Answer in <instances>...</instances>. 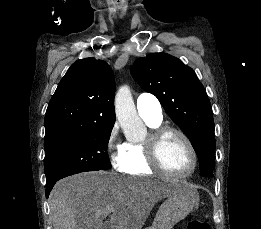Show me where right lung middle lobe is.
Returning a JSON list of instances; mask_svg holds the SVG:
<instances>
[{
  "instance_id": "right-lung-middle-lobe-1",
  "label": "right lung middle lobe",
  "mask_w": 261,
  "mask_h": 229,
  "mask_svg": "<svg viewBox=\"0 0 261 229\" xmlns=\"http://www.w3.org/2000/svg\"><path fill=\"white\" fill-rule=\"evenodd\" d=\"M112 125H95L86 131L45 147L46 185L86 171L110 169L107 145Z\"/></svg>"
}]
</instances>
